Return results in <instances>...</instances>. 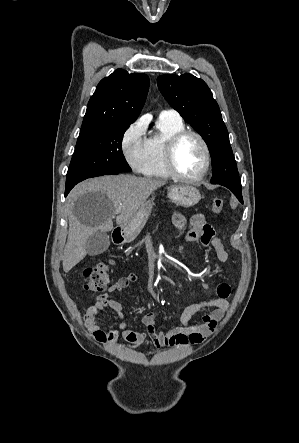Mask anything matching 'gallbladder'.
<instances>
[{
    "instance_id": "gallbladder-1",
    "label": "gallbladder",
    "mask_w": 299,
    "mask_h": 443,
    "mask_svg": "<svg viewBox=\"0 0 299 443\" xmlns=\"http://www.w3.org/2000/svg\"><path fill=\"white\" fill-rule=\"evenodd\" d=\"M109 245V235L105 232L97 231L86 240L85 248L88 255L96 256L105 252Z\"/></svg>"
}]
</instances>
